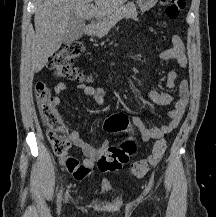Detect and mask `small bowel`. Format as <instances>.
Segmentation results:
<instances>
[{"mask_svg": "<svg viewBox=\"0 0 216 217\" xmlns=\"http://www.w3.org/2000/svg\"><path fill=\"white\" fill-rule=\"evenodd\" d=\"M159 60L162 62L176 61L182 68L187 66L185 46L178 35L172 37V47L163 50L159 55ZM177 76V72L174 70L167 73L166 86L168 88L173 89L176 86ZM67 87V84L59 83L54 87V92L56 95L63 94L67 90ZM78 88L84 96L92 99L99 105L104 104V89L86 85H79ZM147 97L158 106H167L174 103V108L167 112L169 121L160 127H146L138 116L133 115L131 117L132 124L137 130L140 139L145 142L160 139L178 127L187 108L189 84L186 80H183L179 84L177 97L169 92L155 90H149ZM60 103V98L58 96L54 97V105L58 106ZM69 140L81 151L82 155L81 164L79 165L82 174L80 176L73 175L77 180L86 179L93 171L96 161L108 147V141L102 140L95 144L89 143L82 139L75 129L69 132Z\"/></svg>", "mask_w": 216, "mask_h": 217, "instance_id": "c3829d8e", "label": "small bowel"}]
</instances>
